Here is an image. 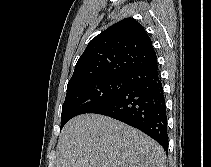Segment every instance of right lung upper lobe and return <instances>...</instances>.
<instances>
[{"label":"right lung upper lobe","mask_w":211,"mask_h":167,"mask_svg":"<svg viewBox=\"0 0 211 167\" xmlns=\"http://www.w3.org/2000/svg\"><path fill=\"white\" fill-rule=\"evenodd\" d=\"M156 59L144 27L133 18H125L89 42L75 65L67 89L102 77L127 76Z\"/></svg>","instance_id":"right-lung-upper-lobe-1"}]
</instances>
